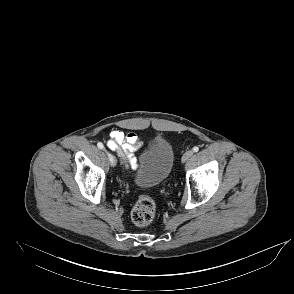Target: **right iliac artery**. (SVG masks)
I'll return each mask as SVG.
<instances>
[{
	"mask_svg": "<svg viewBox=\"0 0 294 294\" xmlns=\"http://www.w3.org/2000/svg\"><path fill=\"white\" fill-rule=\"evenodd\" d=\"M97 146H98L99 149L105 150V147L101 142H98ZM106 153L108 154V157H109V159H110V161L112 163V160H113L112 155L110 153H108L107 151H106Z\"/></svg>",
	"mask_w": 294,
	"mask_h": 294,
	"instance_id": "82829eb1",
	"label": "right iliac artery"
}]
</instances>
